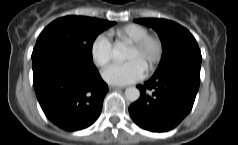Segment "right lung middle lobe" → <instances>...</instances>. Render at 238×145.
I'll list each match as a JSON object with an SVG mask.
<instances>
[{
    "instance_id": "right-lung-middle-lobe-1",
    "label": "right lung middle lobe",
    "mask_w": 238,
    "mask_h": 145,
    "mask_svg": "<svg viewBox=\"0 0 238 145\" xmlns=\"http://www.w3.org/2000/svg\"><path fill=\"white\" fill-rule=\"evenodd\" d=\"M115 22L85 16H66L49 24L39 35L32 59L50 53H64L92 65L95 38Z\"/></svg>"
}]
</instances>
